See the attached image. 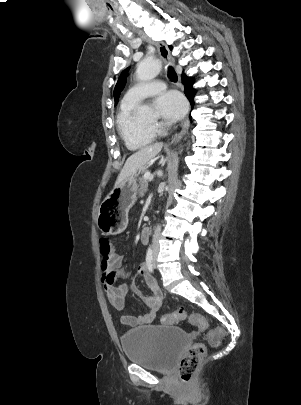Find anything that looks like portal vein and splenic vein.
<instances>
[{
    "label": "portal vein and splenic vein",
    "instance_id": "1",
    "mask_svg": "<svg viewBox=\"0 0 301 405\" xmlns=\"http://www.w3.org/2000/svg\"><path fill=\"white\" fill-rule=\"evenodd\" d=\"M144 177H145L146 179H149V178H150V173H145Z\"/></svg>",
    "mask_w": 301,
    "mask_h": 405
}]
</instances>
